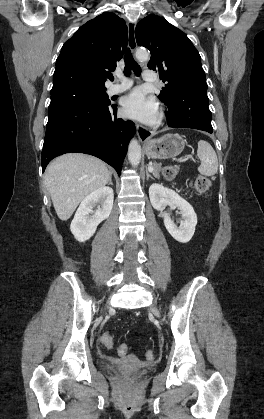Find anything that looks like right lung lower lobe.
<instances>
[{
	"label": "right lung lower lobe",
	"mask_w": 264,
	"mask_h": 419,
	"mask_svg": "<svg viewBox=\"0 0 264 419\" xmlns=\"http://www.w3.org/2000/svg\"><path fill=\"white\" fill-rule=\"evenodd\" d=\"M117 106L65 101L49 107L42 150V172L56 156L69 152L94 155L120 175L135 125L116 119Z\"/></svg>",
	"instance_id": "right-lung-lower-lobe-1"
}]
</instances>
